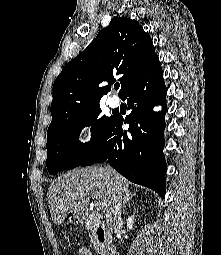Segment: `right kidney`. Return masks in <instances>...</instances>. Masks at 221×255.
<instances>
[{
    "mask_svg": "<svg viewBox=\"0 0 221 255\" xmlns=\"http://www.w3.org/2000/svg\"><path fill=\"white\" fill-rule=\"evenodd\" d=\"M134 219H135V214L129 216L127 219V228H129L130 230L133 229Z\"/></svg>",
    "mask_w": 221,
    "mask_h": 255,
    "instance_id": "ca27d5eb",
    "label": "right kidney"
}]
</instances>
